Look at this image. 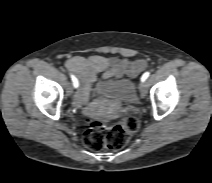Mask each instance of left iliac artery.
Wrapping results in <instances>:
<instances>
[{"label": "left iliac artery", "mask_w": 212, "mask_h": 183, "mask_svg": "<svg viewBox=\"0 0 212 183\" xmlns=\"http://www.w3.org/2000/svg\"><path fill=\"white\" fill-rule=\"evenodd\" d=\"M149 75H150L149 72H145L141 77V81L144 82L149 77Z\"/></svg>", "instance_id": "44dca946"}]
</instances>
